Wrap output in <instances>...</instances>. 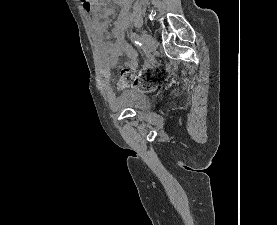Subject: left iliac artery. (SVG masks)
<instances>
[{
	"label": "left iliac artery",
	"mask_w": 277,
	"mask_h": 225,
	"mask_svg": "<svg viewBox=\"0 0 277 225\" xmlns=\"http://www.w3.org/2000/svg\"><path fill=\"white\" fill-rule=\"evenodd\" d=\"M130 38H131V40H132L135 44L141 45V43H140V38H139V36H138L137 33H135V32H130Z\"/></svg>",
	"instance_id": "obj_1"
}]
</instances>
